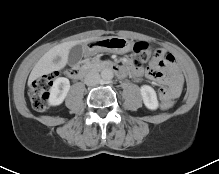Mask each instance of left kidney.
I'll use <instances>...</instances> for the list:
<instances>
[{
    "label": "left kidney",
    "mask_w": 219,
    "mask_h": 174,
    "mask_svg": "<svg viewBox=\"0 0 219 174\" xmlns=\"http://www.w3.org/2000/svg\"><path fill=\"white\" fill-rule=\"evenodd\" d=\"M144 105L150 110H156L159 106L155 90L149 85H143L140 88Z\"/></svg>",
    "instance_id": "5707ae66"
}]
</instances>
